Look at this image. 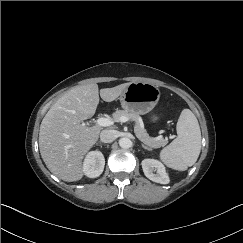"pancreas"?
<instances>
[{"mask_svg": "<svg viewBox=\"0 0 243 243\" xmlns=\"http://www.w3.org/2000/svg\"><path fill=\"white\" fill-rule=\"evenodd\" d=\"M121 117H127L135 122L134 131L137 138L150 149L160 148L166 144V140L164 139H158L149 136L146 129L144 128L142 118L137 113L129 112L126 110H116V112L113 114L114 120L119 122Z\"/></svg>", "mask_w": 243, "mask_h": 243, "instance_id": "pancreas-1", "label": "pancreas"}]
</instances>
